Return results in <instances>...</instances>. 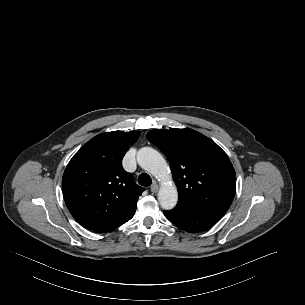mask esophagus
I'll return each instance as SVG.
<instances>
[{"mask_svg":"<svg viewBox=\"0 0 305 305\" xmlns=\"http://www.w3.org/2000/svg\"><path fill=\"white\" fill-rule=\"evenodd\" d=\"M159 187L158 185L156 184V182H154L151 187H150V190L152 193H156L158 191Z\"/></svg>","mask_w":305,"mask_h":305,"instance_id":"34e87169","label":"esophagus"}]
</instances>
